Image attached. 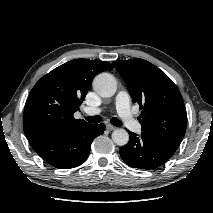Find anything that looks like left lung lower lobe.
Here are the masks:
<instances>
[{
    "mask_svg": "<svg viewBox=\"0 0 213 213\" xmlns=\"http://www.w3.org/2000/svg\"><path fill=\"white\" fill-rule=\"evenodd\" d=\"M129 132V142L120 148L123 161L132 168L155 169L164 164L177 146L150 138L144 133Z\"/></svg>",
    "mask_w": 213,
    "mask_h": 213,
    "instance_id": "left-lung-lower-lobe-1",
    "label": "left lung lower lobe"
}]
</instances>
